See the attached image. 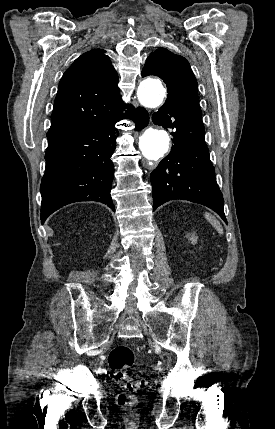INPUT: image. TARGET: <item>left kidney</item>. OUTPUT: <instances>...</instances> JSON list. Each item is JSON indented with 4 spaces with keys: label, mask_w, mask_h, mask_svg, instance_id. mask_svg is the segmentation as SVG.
Here are the masks:
<instances>
[{
    "label": "left kidney",
    "mask_w": 275,
    "mask_h": 429,
    "mask_svg": "<svg viewBox=\"0 0 275 429\" xmlns=\"http://www.w3.org/2000/svg\"><path fill=\"white\" fill-rule=\"evenodd\" d=\"M190 240L192 241V243H196V242H197V238H196L195 236H192V237L190 238Z\"/></svg>",
    "instance_id": "5707ae66"
}]
</instances>
